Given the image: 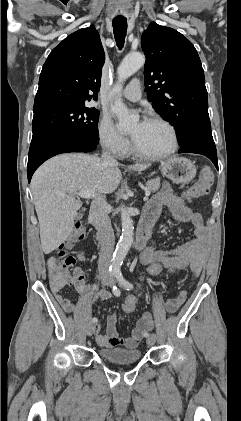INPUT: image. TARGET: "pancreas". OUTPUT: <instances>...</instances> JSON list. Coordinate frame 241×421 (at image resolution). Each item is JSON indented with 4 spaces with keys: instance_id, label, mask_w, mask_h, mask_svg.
<instances>
[{
    "instance_id": "1",
    "label": "pancreas",
    "mask_w": 241,
    "mask_h": 421,
    "mask_svg": "<svg viewBox=\"0 0 241 421\" xmlns=\"http://www.w3.org/2000/svg\"><path fill=\"white\" fill-rule=\"evenodd\" d=\"M149 191L157 192L160 188V178L151 179L146 182Z\"/></svg>"
}]
</instances>
